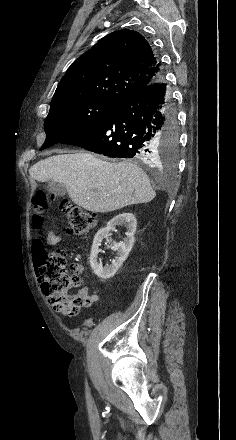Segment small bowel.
Wrapping results in <instances>:
<instances>
[{
    "mask_svg": "<svg viewBox=\"0 0 236 440\" xmlns=\"http://www.w3.org/2000/svg\"><path fill=\"white\" fill-rule=\"evenodd\" d=\"M61 241H62V238L60 236H58L56 233L48 232V234L46 236L45 243L49 246H54V245L60 243ZM40 254H41V248L38 245L34 244V246L32 248V258H33L34 264H36V262L40 258ZM75 270L78 273H82L83 267L81 265H77L75 267ZM75 296L82 299L81 307H84V308L91 307L94 303H96L99 300V293L97 291H90L88 287L81 288L75 294Z\"/></svg>",
    "mask_w": 236,
    "mask_h": 440,
    "instance_id": "c3829d8e",
    "label": "small bowel"
}]
</instances>
